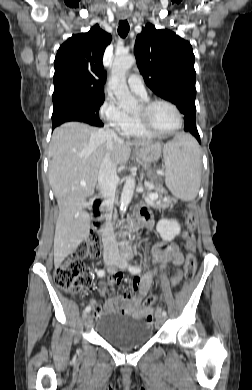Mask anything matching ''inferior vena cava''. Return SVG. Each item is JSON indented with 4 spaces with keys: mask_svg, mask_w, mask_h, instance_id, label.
I'll list each match as a JSON object with an SVG mask.
<instances>
[{
    "mask_svg": "<svg viewBox=\"0 0 252 390\" xmlns=\"http://www.w3.org/2000/svg\"><path fill=\"white\" fill-rule=\"evenodd\" d=\"M105 135L107 138V153L99 168L98 187L103 198V205L108 212H111L115 199V183L118 177L116 165L110 158V151L113 149V139L117 138V135L111 130H106ZM102 242L105 253L117 252L118 244L110 223L102 231Z\"/></svg>",
    "mask_w": 252,
    "mask_h": 390,
    "instance_id": "602c4592",
    "label": "inferior vena cava"
}]
</instances>
